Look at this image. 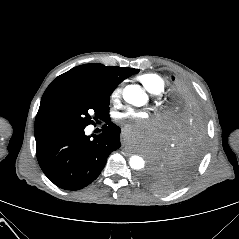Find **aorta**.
Segmentation results:
<instances>
[{"instance_id": "1", "label": "aorta", "mask_w": 239, "mask_h": 239, "mask_svg": "<svg viewBox=\"0 0 239 239\" xmlns=\"http://www.w3.org/2000/svg\"><path fill=\"white\" fill-rule=\"evenodd\" d=\"M124 100L135 106L146 104L148 97L144 90L138 85H128L123 90ZM130 167L135 170H141L145 166V161L141 156L133 155L129 160Z\"/></svg>"}]
</instances>
